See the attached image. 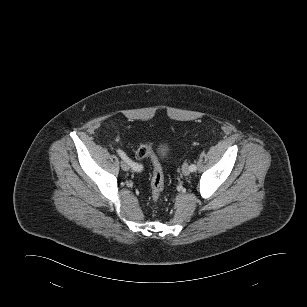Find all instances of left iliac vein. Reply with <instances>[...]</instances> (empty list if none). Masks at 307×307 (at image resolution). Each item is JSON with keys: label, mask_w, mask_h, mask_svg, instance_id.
I'll list each match as a JSON object with an SVG mask.
<instances>
[{"label": "left iliac vein", "mask_w": 307, "mask_h": 307, "mask_svg": "<svg viewBox=\"0 0 307 307\" xmlns=\"http://www.w3.org/2000/svg\"><path fill=\"white\" fill-rule=\"evenodd\" d=\"M190 172H191L190 166L187 163L183 164V166H182L183 175L188 176L190 174Z\"/></svg>", "instance_id": "4c4485c4"}]
</instances>
